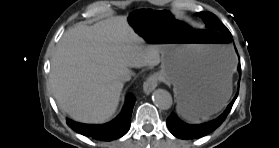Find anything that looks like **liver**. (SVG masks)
<instances>
[{"instance_id": "1", "label": "liver", "mask_w": 279, "mask_h": 148, "mask_svg": "<svg viewBox=\"0 0 279 148\" xmlns=\"http://www.w3.org/2000/svg\"><path fill=\"white\" fill-rule=\"evenodd\" d=\"M158 46L147 44L124 16L66 31L51 60L50 85L59 107L74 120L103 123L115 113L130 68L156 66ZM131 73V72H130Z\"/></svg>"}]
</instances>
